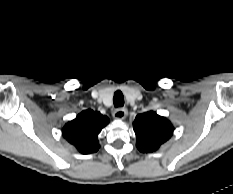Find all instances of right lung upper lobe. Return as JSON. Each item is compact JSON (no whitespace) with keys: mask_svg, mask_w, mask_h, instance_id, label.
Masks as SVG:
<instances>
[{"mask_svg":"<svg viewBox=\"0 0 233 194\" xmlns=\"http://www.w3.org/2000/svg\"><path fill=\"white\" fill-rule=\"evenodd\" d=\"M109 123L99 112L84 110L62 129L64 138L82 154L94 153L99 149L98 134Z\"/></svg>","mask_w":233,"mask_h":194,"instance_id":"obj_1","label":"right lung upper lobe"}]
</instances>
